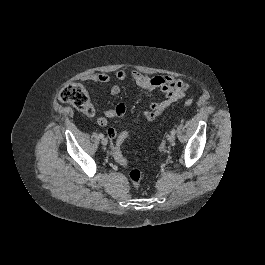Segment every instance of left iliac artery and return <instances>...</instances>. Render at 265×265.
I'll return each instance as SVG.
<instances>
[{
	"mask_svg": "<svg viewBox=\"0 0 265 265\" xmlns=\"http://www.w3.org/2000/svg\"><path fill=\"white\" fill-rule=\"evenodd\" d=\"M175 133H176V130L175 129H172L171 134H174L175 135Z\"/></svg>",
	"mask_w": 265,
	"mask_h": 265,
	"instance_id": "1",
	"label": "left iliac artery"
}]
</instances>
